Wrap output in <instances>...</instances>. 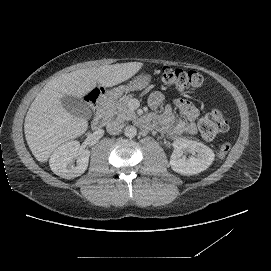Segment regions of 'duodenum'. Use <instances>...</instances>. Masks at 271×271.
Returning a JSON list of instances; mask_svg holds the SVG:
<instances>
[{
	"label": "duodenum",
	"instance_id": "duodenum-1",
	"mask_svg": "<svg viewBox=\"0 0 271 271\" xmlns=\"http://www.w3.org/2000/svg\"><path fill=\"white\" fill-rule=\"evenodd\" d=\"M111 119V99L109 97H104L98 106L97 114L93 122V127L99 129L105 126L109 128L114 127L113 124H110Z\"/></svg>",
	"mask_w": 271,
	"mask_h": 271
}]
</instances>
